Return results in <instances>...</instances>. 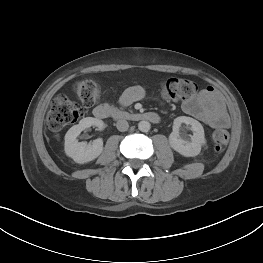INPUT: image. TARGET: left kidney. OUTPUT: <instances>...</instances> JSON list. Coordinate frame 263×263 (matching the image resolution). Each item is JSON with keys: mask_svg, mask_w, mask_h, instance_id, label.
I'll list each match as a JSON object with an SVG mask.
<instances>
[{"mask_svg": "<svg viewBox=\"0 0 263 263\" xmlns=\"http://www.w3.org/2000/svg\"><path fill=\"white\" fill-rule=\"evenodd\" d=\"M182 123L191 126V130L193 131L191 141L185 140L182 137L180 133ZM169 142L171 147L181 155L186 157L197 156L201 151V147L206 144L203 126L191 117H177L173 122V131L169 136Z\"/></svg>", "mask_w": 263, "mask_h": 263, "instance_id": "5707ae66", "label": "left kidney"}]
</instances>
